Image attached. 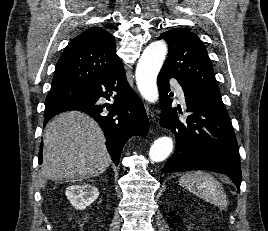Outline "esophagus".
<instances>
[{"mask_svg":"<svg viewBox=\"0 0 268 231\" xmlns=\"http://www.w3.org/2000/svg\"><path fill=\"white\" fill-rule=\"evenodd\" d=\"M146 112L150 116L151 115V108L148 104H145Z\"/></svg>","mask_w":268,"mask_h":231,"instance_id":"1","label":"esophagus"}]
</instances>
